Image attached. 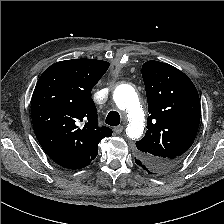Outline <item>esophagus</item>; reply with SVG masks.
Returning a JSON list of instances; mask_svg holds the SVG:
<instances>
[{
  "label": "esophagus",
  "instance_id": "esophagus-1",
  "mask_svg": "<svg viewBox=\"0 0 224 224\" xmlns=\"http://www.w3.org/2000/svg\"><path fill=\"white\" fill-rule=\"evenodd\" d=\"M124 127L123 126H117L113 130L115 134H120L123 131Z\"/></svg>",
  "mask_w": 224,
  "mask_h": 224
}]
</instances>
